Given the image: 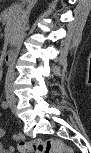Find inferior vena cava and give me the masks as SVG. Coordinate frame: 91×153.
Returning a JSON list of instances; mask_svg holds the SVG:
<instances>
[{"instance_id":"inferior-vena-cava-1","label":"inferior vena cava","mask_w":91,"mask_h":153,"mask_svg":"<svg viewBox=\"0 0 91 153\" xmlns=\"http://www.w3.org/2000/svg\"><path fill=\"white\" fill-rule=\"evenodd\" d=\"M36 0H28V6L26 8L25 11H23L21 13V26L20 29L17 33V43H16V47L14 48L15 50L13 51L14 53H19L20 51V47H22V42L24 39V31H25V27L28 23V18L31 12L32 7L34 6ZM12 57L10 58L11 60L9 61L10 63L9 65V69L6 75V80H5V90L8 93H11L12 90V83H13V79H14V68H15V63L17 58V54H12Z\"/></svg>"}]
</instances>
